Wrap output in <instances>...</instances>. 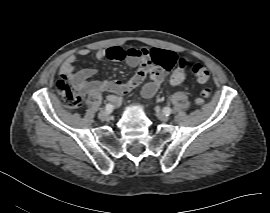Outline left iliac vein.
Returning <instances> with one entry per match:
<instances>
[{"instance_id": "1", "label": "left iliac vein", "mask_w": 270, "mask_h": 213, "mask_svg": "<svg viewBox=\"0 0 270 213\" xmlns=\"http://www.w3.org/2000/svg\"><path fill=\"white\" fill-rule=\"evenodd\" d=\"M156 115L158 117L159 120L163 121V122H167L169 120V117L162 111L157 110Z\"/></svg>"}]
</instances>
